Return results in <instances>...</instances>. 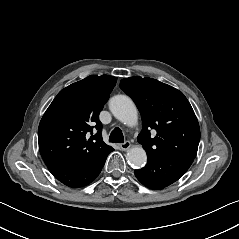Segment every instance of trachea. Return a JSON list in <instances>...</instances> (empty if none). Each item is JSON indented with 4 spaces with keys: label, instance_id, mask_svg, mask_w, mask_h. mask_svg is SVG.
<instances>
[{
    "label": "trachea",
    "instance_id": "obj_1",
    "mask_svg": "<svg viewBox=\"0 0 239 239\" xmlns=\"http://www.w3.org/2000/svg\"><path fill=\"white\" fill-rule=\"evenodd\" d=\"M109 141L113 143H124V136L120 128L116 127L112 130Z\"/></svg>",
    "mask_w": 239,
    "mask_h": 239
}]
</instances>
